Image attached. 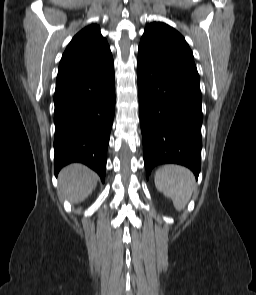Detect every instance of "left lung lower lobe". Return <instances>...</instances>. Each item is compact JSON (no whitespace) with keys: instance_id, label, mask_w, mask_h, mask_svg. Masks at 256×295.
<instances>
[{"instance_id":"obj_1","label":"left lung lower lobe","mask_w":256,"mask_h":295,"mask_svg":"<svg viewBox=\"0 0 256 295\" xmlns=\"http://www.w3.org/2000/svg\"><path fill=\"white\" fill-rule=\"evenodd\" d=\"M139 113L147 178L159 164L176 163L197 178L201 164L202 96L137 65Z\"/></svg>"}]
</instances>
